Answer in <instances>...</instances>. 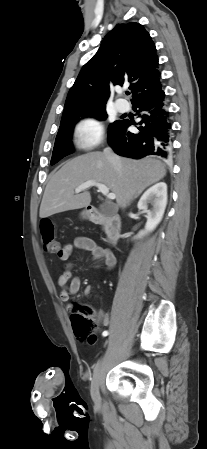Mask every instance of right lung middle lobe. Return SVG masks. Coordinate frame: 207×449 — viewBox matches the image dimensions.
I'll return each mask as SVG.
<instances>
[{"instance_id": "obj_1", "label": "right lung middle lobe", "mask_w": 207, "mask_h": 449, "mask_svg": "<svg viewBox=\"0 0 207 449\" xmlns=\"http://www.w3.org/2000/svg\"><path fill=\"white\" fill-rule=\"evenodd\" d=\"M95 117L100 120H105L107 118V114L105 109L96 110L80 115L70 116L61 120L60 127L58 130V134L56 136L55 145L51 158V165L57 163L63 157L69 155L73 152L71 138L72 131L76 122L80 119V117ZM120 123V120H117L111 123L108 127V135L117 127Z\"/></svg>"}]
</instances>
